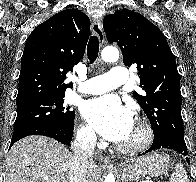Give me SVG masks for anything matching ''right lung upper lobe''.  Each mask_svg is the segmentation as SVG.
Here are the masks:
<instances>
[{
  "label": "right lung upper lobe",
  "mask_w": 196,
  "mask_h": 182,
  "mask_svg": "<svg viewBox=\"0 0 196 182\" xmlns=\"http://www.w3.org/2000/svg\"><path fill=\"white\" fill-rule=\"evenodd\" d=\"M89 33V18L75 9L38 25L25 44L16 103L65 95L72 87L64 82L66 73L83 58Z\"/></svg>",
  "instance_id": "right-lung-upper-lobe-1"
}]
</instances>
